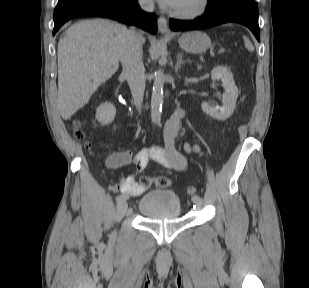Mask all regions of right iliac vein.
I'll return each mask as SVG.
<instances>
[{"mask_svg": "<svg viewBox=\"0 0 309 288\" xmlns=\"http://www.w3.org/2000/svg\"><path fill=\"white\" fill-rule=\"evenodd\" d=\"M126 200H127V198H126ZM126 200L123 201V200L120 199L118 201L117 209H116V219L118 221H120L124 217V215L126 214L127 207H128Z\"/></svg>", "mask_w": 309, "mask_h": 288, "instance_id": "63e3f726", "label": "right iliac vein"}]
</instances>
